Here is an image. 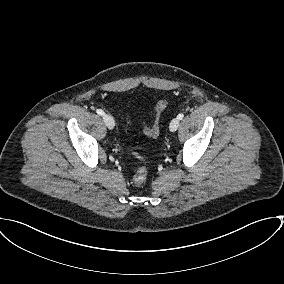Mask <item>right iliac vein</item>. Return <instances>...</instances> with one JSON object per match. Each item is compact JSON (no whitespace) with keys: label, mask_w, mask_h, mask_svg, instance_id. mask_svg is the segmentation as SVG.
<instances>
[{"label":"right iliac vein","mask_w":284,"mask_h":284,"mask_svg":"<svg viewBox=\"0 0 284 284\" xmlns=\"http://www.w3.org/2000/svg\"><path fill=\"white\" fill-rule=\"evenodd\" d=\"M103 121L105 123V125L109 128V129H113L115 126V122L114 119L108 115V114H104L103 115Z\"/></svg>","instance_id":"right-iliac-vein-1"}]
</instances>
